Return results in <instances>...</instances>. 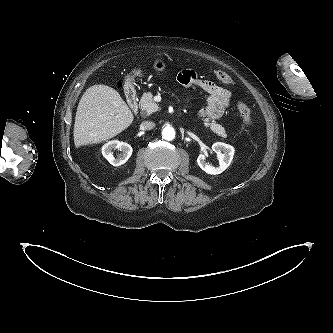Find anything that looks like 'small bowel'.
I'll use <instances>...</instances> for the list:
<instances>
[{
    "mask_svg": "<svg viewBox=\"0 0 333 333\" xmlns=\"http://www.w3.org/2000/svg\"><path fill=\"white\" fill-rule=\"evenodd\" d=\"M177 81L186 87H196L207 94V105L200 111L203 119H218L229 107L232 94L210 80L200 77L194 70L185 69L178 73Z\"/></svg>",
    "mask_w": 333,
    "mask_h": 333,
    "instance_id": "1",
    "label": "small bowel"
}]
</instances>
